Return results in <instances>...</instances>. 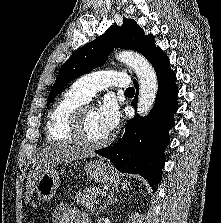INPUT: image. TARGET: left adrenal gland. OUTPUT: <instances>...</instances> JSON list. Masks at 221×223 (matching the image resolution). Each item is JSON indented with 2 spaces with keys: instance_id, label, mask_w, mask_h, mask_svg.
I'll return each instance as SVG.
<instances>
[{
  "instance_id": "left-adrenal-gland-1",
  "label": "left adrenal gland",
  "mask_w": 221,
  "mask_h": 223,
  "mask_svg": "<svg viewBox=\"0 0 221 223\" xmlns=\"http://www.w3.org/2000/svg\"><path fill=\"white\" fill-rule=\"evenodd\" d=\"M116 201L118 200L114 197V191H111L110 194L107 196L106 200L104 201L103 205L100 206L99 211L97 212V215L104 212L107 206H109L110 204Z\"/></svg>"
}]
</instances>
